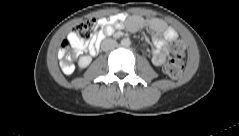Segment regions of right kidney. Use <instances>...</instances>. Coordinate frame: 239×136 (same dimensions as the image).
<instances>
[{
    "instance_id": "ca27d5eb",
    "label": "right kidney",
    "mask_w": 239,
    "mask_h": 136,
    "mask_svg": "<svg viewBox=\"0 0 239 136\" xmlns=\"http://www.w3.org/2000/svg\"><path fill=\"white\" fill-rule=\"evenodd\" d=\"M92 58L90 56H82L78 61L80 69L87 67L91 63Z\"/></svg>"
}]
</instances>
